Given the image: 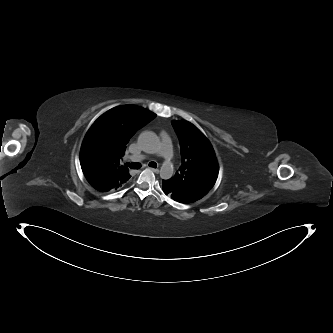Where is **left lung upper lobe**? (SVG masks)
I'll list each match as a JSON object with an SVG mask.
<instances>
[{"instance_id":"1","label":"left lung upper lobe","mask_w":333,"mask_h":333,"mask_svg":"<svg viewBox=\"0 0 333 333\" xmlns=\"http://www.w3.org/2000/svg\"><path fill=\"white\" fill-rule=\"evenodd\" d=\"M179 138L182 165L175 176L169 179L171 191L190 202L206 195L218 176L215 152L209 140L188 121H173Z\"/></svg>"}]
</instances>
